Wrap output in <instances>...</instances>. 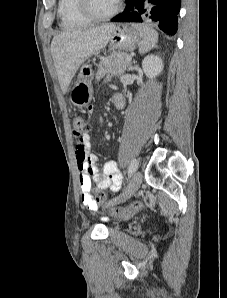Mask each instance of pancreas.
Masks as SVG:
<instances>
[{"instance_id": "1", "label": "pancreas", "mask_w": 227, "mask_h": 298, "mask_svg": "<svg viewBox=\"0 0 227 298\" xmlns=\"http://www.w3.org/2000/svg\"><path fill=\"white\" fill-rule=\"evenodd\" d=\"M127 56L126 53H113L103 57L98 65L96 79L100 80L108 73L123 74L130 65V62L125 60Z\"/></svg>"}]
</instances>
